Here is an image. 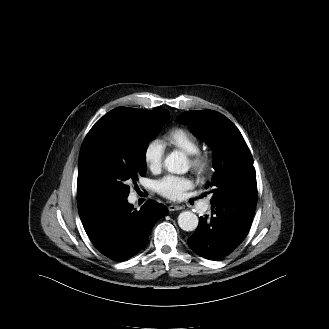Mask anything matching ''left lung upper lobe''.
<instances>
[{
    "label": "left lung upper lobe",
    "mask_w": 329,
    "mask_h": 329,
    "mask_svg": "<svg viewBox=\"0 0 329 329\" xmlns=\"http://www.w3.org/2000/svg\"><path fill=\"white\" fill-rule=\"evenodd\" d=\"M191 125L192 133L214 151V177L206 187H213L212 200H226L244 184L255 170L250 150L235 125L213 110L186 111L177 119Z\"/></svg>",
    "instance_id": "5c2ea615"
}]
</instances>
